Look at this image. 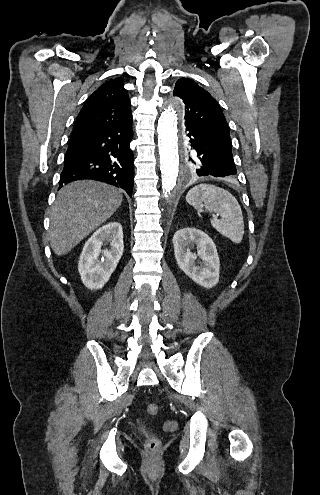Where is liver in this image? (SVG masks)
<instances>
[{
  "label": "liver",
  "instance_id": "1",
  "mask_svg": "<svg viewBox=\"0 0 320 495\" xmlns=\"http://www.w3.org/2000/svg\"><path fill=\"white\" fill-rule=\"evenodd\" d=\"M121 190L78 180L62 187L52 207L48 236L53 252L64 255L110 218L122 203Z\"/></svg>",
  "mask_w": 320,
  "mask_h": 495
}]
</instances>
